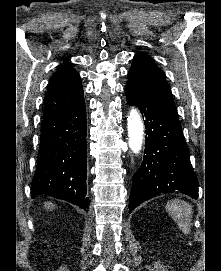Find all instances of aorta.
<instances>
[{
  "instance_id": "obj_1",
  "label": "aorta",
  "mask_w": 221,
  "mask_h": 271,
  "mask_svg": "<svg viewBox=\"0 0 221 271\" xmlns=\"http://www.w3.org/2000/svg\"><path fill=\"white\" fill-rule=\"evenodd\" d=\"M128 144L131 151L138 154L144 140V125L139 111L132 108L127 117Z\"/></svg>"
}]
</instances>
